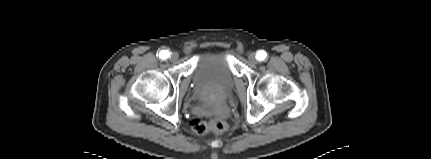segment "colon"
<instances>
[{
  "label": "colon",
  "mask_w": 431,
  "mask_h": 159,
  "mask_svg": "<svg viewBox=\"0 0 431 159\" xmlns=\"http://www.w3.org/2000/svg\"><path fill=\"white\" fill-rule=\"evenodd\" d=\"M191 128L195 133L204 135L209 132L221 134L225 132L227 126L226 123L218 117H214L210 121H206L201 118H194L191 121Z\"/></svg>",
  "instance_id": "5ec220e1"
}]
</instances>
